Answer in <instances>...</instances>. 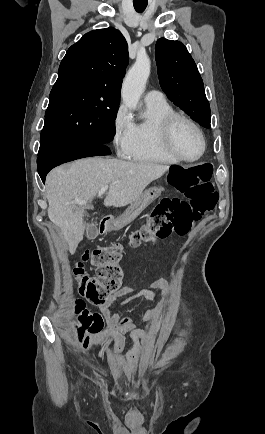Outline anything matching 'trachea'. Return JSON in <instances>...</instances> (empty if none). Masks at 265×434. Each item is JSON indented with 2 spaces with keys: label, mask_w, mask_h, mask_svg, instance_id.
<instances>
[{
  "label": "trachea",
  "mask_w": 265,
  "mask_h": 434,
  "mask_svg": "<svg viewBox=\"0 0 265 434\" xmlns=\"http://www.w3.org/2000/svg\"><path fill=\"white\" fill-rule=\"evenodd\" d=\"M134 8L137 12L142 13L147 7V3H134Z\"/></svg>",
  "instance_id": "3493384b"
}]
</instances>
